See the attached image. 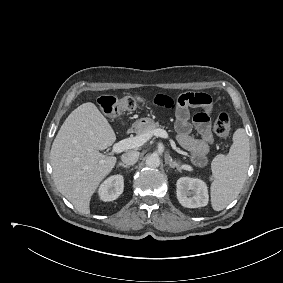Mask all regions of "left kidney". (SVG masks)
Listing matches in <instances>:
<instances>
[{
	"instance_id": "left-kidney-1",
	"label": "left kidney",
	"mask_w": 283,
	"mask_h": 283,
	"mask_svg": "<svg viewBox=\"0 0 283 283\" xmlns=\"http://www.w3.org/2000/svg\"><path fill=\"white\" fill-rule=\"evenodd\" d=\"M177 199L187 208L206 206L209 201L206 183L198 178L182 177L177 181Z\"/></svg>"
}]
</instances>
